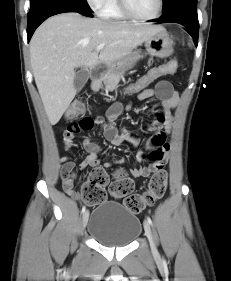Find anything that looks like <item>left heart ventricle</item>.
<instances>
[{"mask_svg": "<svg viewBox=\"0 0 231 281\" xmlns=\"http://www.w3.org/2000/svg\"><path fill=\"white\" fill-rule=\"evenodd\" d=\"M130 9L140 17H151L158 9V0H127Z\"/></svg>", "mask_w": 231, "mask_h": 281, "instance_id": "left-heart-ventricle-1", "label": "left heart ventricle"}]
</instances>
